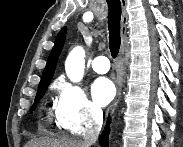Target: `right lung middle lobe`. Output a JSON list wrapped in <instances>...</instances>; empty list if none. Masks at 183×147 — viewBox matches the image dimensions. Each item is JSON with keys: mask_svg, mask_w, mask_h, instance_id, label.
Listing matches in <instances>:
<instances>
[{"mask_svg": "<svg viewBox=\"0 0 183 147\" xmlns=\"http://www.w3.org/2000/svg\"><path fill=\"white\" fill-rule=\"evenodd\" d=\"M47 88H48V87H43V88H39V89H38V92H37V95H36V98H35V102H34V104H33V108L36 107L38 101L44 96V94H45ZM33 108H32V109H33ZM32 109H31V111H32Z\"/></svg>", "mask_w": 183, "mask_h": 147, "instance_id": "obj_1", "label": "right lung middle lobe"}]
</instances>
